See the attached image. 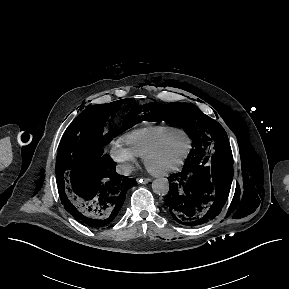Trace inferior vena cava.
Masks as SVG:
<instances>
[{"mask_svg":"<svg viewBox=\"0 0 289 289\" xmlns=\"http://www.w3.org/2000/svg\"><path fill=\"white\" fill-rule=\"evenodd\" d=\"M133 168L129 164H125L121 166L120 168L117 169V172L121 175H130L132 172Z\"/></svg>","mask_w":289,"mask_h":289,"instance_id":"1","label":"inferior vena cava"}]
</instances>
